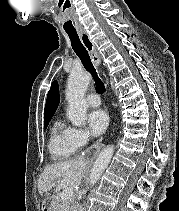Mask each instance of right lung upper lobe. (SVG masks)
I'll return each instance as SVG.
<instances>
[{
    "label": "right lung upper lobe",
    "instance_id": "right-lung-upper-lobe-1",
    "mask_svg": "<svg viewBox=\"0 0 179 211\" xmlns=\"http://www.w3.org/2000/svg\"><path fill=\"white\" fill-rule=\"evenodd\" d=\"M60 102L59 89L57 81H54L51 85V89L48 92L46 106L44 110V119L50 118L55 113Z\"/></svg>",
    "mask_w": 179,
    "mask_h": 211
}]
</instances>
